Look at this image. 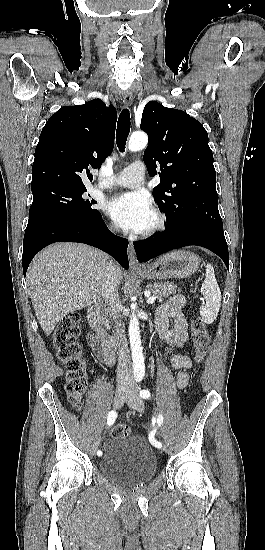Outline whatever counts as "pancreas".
<instances>
[{
	"label": "pancreas",
	"instance_id": "obj_1",
	"mask_svg": "<svg viewBox=\"0 0 265 550\" xmlns=\"http://www.w3.org/2000/svg\"><path fill=\"white\" fill-rule=\"evenodd\" d=\"M148 289L151 291L153 296L156 297V299L159 302H162L164 300V298H166V297H168L172 294H175L176 291L180 292V290L177 289V285H175L173 283L149 284ZM102 320H103V322L106 326L109 324V314H108L107 310H103Z\"/></svg>",
	"mask_w": 265,
	"mask_h": 550
}]
</instances>
